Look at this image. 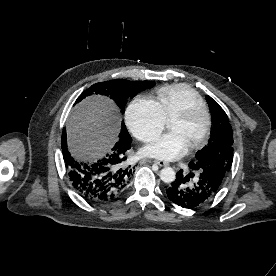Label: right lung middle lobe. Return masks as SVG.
I'll use <instances>...</instances> for the list:
<instances>
[{
	"instance_id": "right-lung-middle-lobe-1",
	"label": "right lung middle lobe",
	"mask_w": 276,
	"mask_h": 276,
	"mask_svg": "<svg viewBox=\"0 0 276 276\" xmlns=\"http://www.w3.org/2000/svg\"><path fill=\"white\" fill-rule=\"evenodd\" d=\"M152 81H128L124 79H116L112 81L101 82L92 85L85 90L76 100L80 102L82 99L93 94L109 96L120 107L121 112H124V106L127 103V98L134 97L141 91L154 86ZM120 140H131L125 125L122 124V131L119 135Z\"/></svg>"
}]
</instances>
